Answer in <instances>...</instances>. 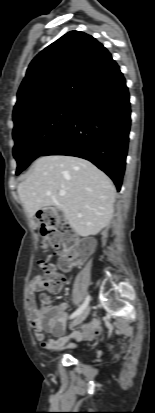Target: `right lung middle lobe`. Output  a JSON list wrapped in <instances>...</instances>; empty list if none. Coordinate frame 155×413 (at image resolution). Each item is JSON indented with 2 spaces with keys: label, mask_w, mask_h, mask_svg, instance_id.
I'll list each match as a JSON object with an SVG mask.
<instances>
[{
  "label": "right lung middle lobe",
  "mask_w": 155,
  "mask_h": 413,
  "mask_svg": "<svg viewBox=\"0 0 155 413\" xmlns=\"http://www.w3.org/2000/svg\"><path fill=\"white\" fill-rule=\"evenodd\" d=\"M76 104H65L27 121L13 130L16 175L39 157L63 133Z\"/></svg>",
  "instance_id": "obj_1"
}]
</instances>
